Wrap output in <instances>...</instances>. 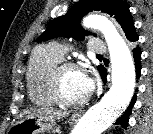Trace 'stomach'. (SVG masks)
<instances>
[{
  "mask_svg": "<svg viewBox=\"0 0 153 134\" xmlns=\"http://www.w3.org/2000/svg\"><path fill=\"white\" fill-rule=\"evenodd\" d=\"M55 123L45 122L38 116L23 118L16 122L9 130V134H45L53 129Z\"/></svg>",
  "mask_w": 153,
  "mask_h": 134,
  "instance_id": "0dacf381",
  "label": "stomach"
}]
</instances>
